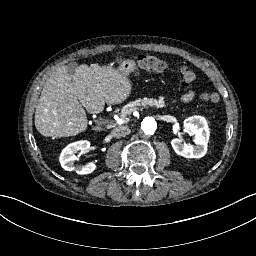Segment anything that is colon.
Here are the masks:
<instances>
[{
  "label": "colon",
  "mask_w": 256,
  "mask_h": 256,
  "mask_svg": "<svg viewBox=\"0 0 256 256\" xmlns=\"http://www.w3.org/2000/svg\"><path fill=\"white\" fill-rule=\"evenodd\" d=\"M127 57V56H126ZM137 62V69L151 73H162L167 70V65L158 58L151 55H140L133 57ZM180 82L183 86L192 85L197 79V73L190 67H182L179 70ZM202 100L205 103L215 104L218 102V95L215 91L207 89L202 93Z\"/></svg>",
  "instance_id": "5ec220e1"
}]
</instances>
